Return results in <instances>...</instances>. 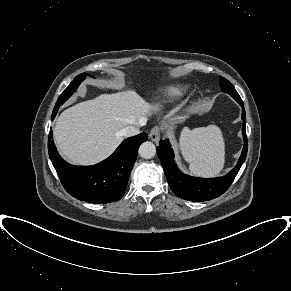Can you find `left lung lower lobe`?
Wrapping results in <instances>:
<instances>
[{"label":"left lung lower lobe","mask_w":291,"mask_h":291,"mask_svg":"<svg viewBox=\"0 0 291 291\" xmlns=\"http://www.w3.org/2000/svg\"><path fill=\"white\" fill-rule=\"evenodd\" d=\"M235 100L242 107V134L244 138V147L236 167H234L227 175L218 178L204 179L190 177L183 174L175 163L173 149L169 142L167 140L160 141L159 146L157 147V154L162 161V167L168 180V184L177 197L197 202L214 199L221 196L234 181L246 158L248 150L244 105L240 97H236Z\"/></svg>","instance_id":"0a47b994"}]
</instances>
